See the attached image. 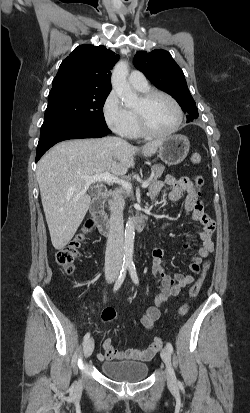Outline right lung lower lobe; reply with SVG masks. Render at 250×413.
I'll list each match as a JSON object with an SVG mask.
<instances>
[{"label": "right lung lower lobe", "instance_id": "1", "mask_svg": "<svg viewBox=\"0 0 250 413\" xmlns=\"http://www.w3.org/2000/svg\"><path fill=\"white\" fill-rule=\"evenodd\" d=\"M110 133L111 131L108 127L93 125H70L62 127L40 137L36 151V162L50 147L60 141L77 138H100Z\"/></svg>", "mask_w": 250, "mask_h": 413}]
</instances>
